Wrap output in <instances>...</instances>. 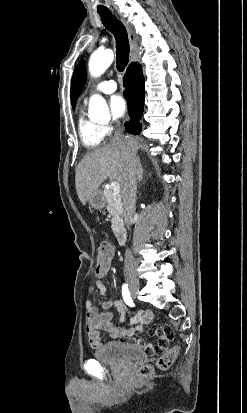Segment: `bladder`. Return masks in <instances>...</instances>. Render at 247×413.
<instances>
[{"label":"bladder","mask_w":247,"mask_h":413,"mask_svg":"<svg viewBox=\"0 0 247 413\" xmlns=\"http://www.w3.org/2000/svg\"><path fill=\"white\" fill-rule=\"evenodd\" d=\"M94 356L103 362L125 364L132 359L144 358L145 352L140 347L119 342H109L99 347L95 351Z\"/></svg>","instance_id":"bladder-1"}]
</instances>
